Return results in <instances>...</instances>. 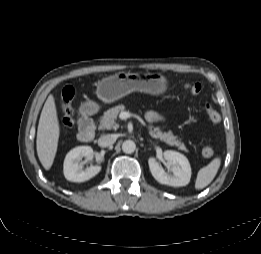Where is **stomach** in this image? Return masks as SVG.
Masks as SVG:
<instances>
[{
    "mask_svg": "<svg viewBox=\"0 0 261 254\" xmlns=\"http://www.w3.org/2000/svg\"><path fill=\"white\" fill-rule=\"evenodd\" d=\"M166 90L167 80L160 73L118 72L98 83L96 95L104 103H112L132 92L161 95Z\"/></svg>",
    "mask_w": 261,
    "mask_h": 254,
    "instance_id": "stomach-1",
    "label": "stomach"
}]
</instances>
